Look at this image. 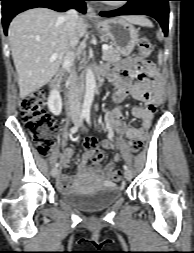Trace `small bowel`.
<instances>
[{
	"instance_id": "1",
	"label": "small bowel",
	"mask_w": 194,
	"mask_h": 253,
	"mask_svg": "<svg viewBox=\"0 0 194 253\" xmlns=\"http://www.w3.org/2000/svg\"><path fill=\"white\" fill-rule=\"evenodd\" d=\"M135 59H126L112 69H103L102 71L116 86L113 99L117 104L108 116V138L101 142L103 149L116 148L113 140L115 133L123 134L129 140H145L151 127L154 112L164 101V85L154 77L153 71H156L157 68L153 60H148V56H136ZM137 61H140V64ZM128 96L144 102L143 107L132 108V115L141 120V126L138 128L128 126L123 118L122 103ZM73 154L74 149L72 147L65 148L62 151L59 156L62 169L69 166ZM89 160H91L90 151L87 150L80 159L79 174L93 172L100 179L108 182L115 169V164L121 160V155L115 153L105 167H102L100 162H92V166H88ZM56 182L61 191H68L71 188V182L64 173L58 174Z\"/></svg>"
}]
</instances>
